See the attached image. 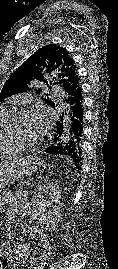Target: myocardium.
Listing matches in <instances>:
<instances>
[{"instance_id":"myocardium-1","label":"myocardium","mask_w":118,"mask_h":269,"mask_svg":"<svg viewBox=\"0 0 118 269\" xmlns=\"http://www.w3.org/2000/svg\"><path fill=\"white\" fill-rule=\"evenodd\" d=\"M27 112L25 109H19L11 112L7 119L4 121L2 125V138L5 140V142L11 146H16L19 148L24 147H35L37 144L36 142L26 141L17 138L14 133V125L17 122L18 119H20L22 116H24Z\"/></svg>"}]
</instances>
